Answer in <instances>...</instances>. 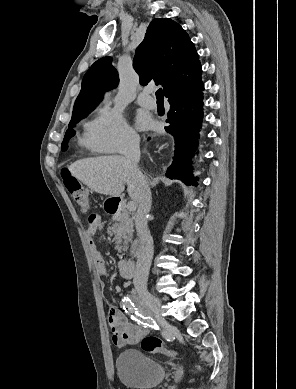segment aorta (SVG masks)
<instances>
[{"mask_svg":"<svg viewBox=\"0 0 296 389\" xmlns=\"http://www.w3.org/2000/svg\"><path fill=\"white\" fill-rule=\"evenodd\" d=\"M140 248V242L139 241H136L133 246H132V253H136Z\"/></svg>","mask_w":296,"mask_h":389,"instance_id":"obj_1","label":"aorta"}]
</instances>
